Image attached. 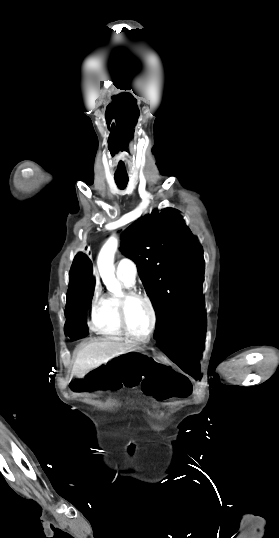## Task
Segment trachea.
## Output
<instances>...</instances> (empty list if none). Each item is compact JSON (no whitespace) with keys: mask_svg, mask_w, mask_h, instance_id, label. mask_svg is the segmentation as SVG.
Instances as JSON below:
<instances>
[{"mask_svg":"<svg viewBox=\"0 0 279 538\" xmlns=\"http://www.w3.org/2000/svg\"><path fill=\"white\" fill-rule=\"evenodd\" d=\"M115 182L120 190H124L128 184V177L115 176Z\"/></svg>","mask_w":279,"mask_h":538,"instance_id":"obj_1","label":"trachea"}]
</instances>
